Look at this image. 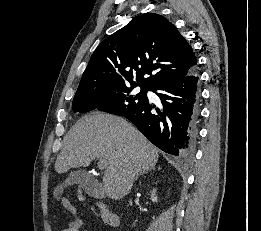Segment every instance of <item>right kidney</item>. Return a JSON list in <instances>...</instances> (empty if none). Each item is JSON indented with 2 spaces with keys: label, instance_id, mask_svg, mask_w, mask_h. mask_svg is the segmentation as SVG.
<instances>
[{
  "label": "right kidney",
  "instance_id": "ca27d5eb",
  "mask_svg": "<svg viewBox=\"0 0 261 231\" xmlns=\"http://www.w3.org/2000/svg\"><path fill=\"white\" fill-rule=\"evenodd\" d=\"M151 200L153 202H157V196H156V190L155 189L151 192Z\"/></svg>",
  "mask_w": 261,
  "mask_h": 231
}]
</instances>
